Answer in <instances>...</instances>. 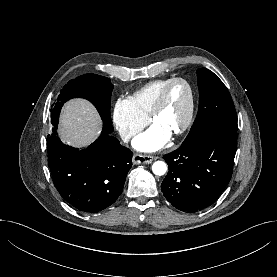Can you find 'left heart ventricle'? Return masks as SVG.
I'll return each mask as SVG.
<instances>
[{
	"instance_id": "b2bd125f",
	"label": "left heart ventricle",
	"mask_w": 277,
	"mask_h": 277,
	"mask_svg": "<svg viewBox=\"0 0 277 277\" xmlns=\"http://www.w3.org/2000/svg\"><path fill=\"white\" fill-rule=\"evenodd\" d=\"M188 101V91L184 84H174L167 95L166 103L155 123L172 134L183 123Z\"/></svg>"
}]
</instances>
